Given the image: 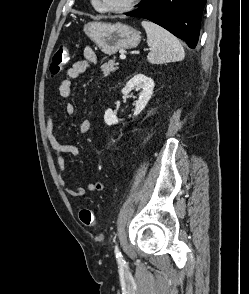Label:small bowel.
<instances>
[{
  "mask_svg": "<svg viewBox=\"0 0 249 294\" xmlns=\"http://www.w3.org/2000/svg\"><path fill=\"white\" fill-rule=\"evenodd\" d=\"M83 60L75 62L66 73V78L62 80L59 85L58 92L61 98L67 99L71 94L72 81L81 74L85 73L91 64H95L98 61V57L95 51L86 47L83 50ZM66 113L68 115H74L76 112L75 105L73 103H67L65 106ZM92 127L91 120L85 119L79 124V131L82 134H86ZM46 137L52 153L56 158L58 167V179L63 190L72 197H82L87 191L98 192L102 191L105 187L101 181L88 183L86 187L76 186L70 187L67 185V167L66 157H76L79 154V148L75 145L62 143L55 134L54 117L51 112L48 113L46 119Z\"/></svg>",
  "mask_w": 249,
  "mask_h": 294,
  "instance_id": "1",
  "label": "small bowel"
}]
</instances>
